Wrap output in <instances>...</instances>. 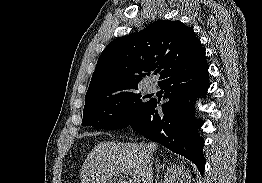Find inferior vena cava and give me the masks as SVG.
Listing matches in <instances>:
<instances>
[{
    "instance_id": "1",
    "label": "inferior vena cava",
    "mask_w": 262,
    "mask_h": 183,
    "mask_svg": "<svg viewBox=\"0 0 262 183\" xmlns=\"http://www.w3.org/2000/svg\"><path fill=\"white\" fill-rule=\"evenodd\" d=\"M142 147L147 152V147L145 145H142ZM148 155H150V154L148 153ZM149 159H150V157H149Z\"/></svg>"
}]
</instances>
